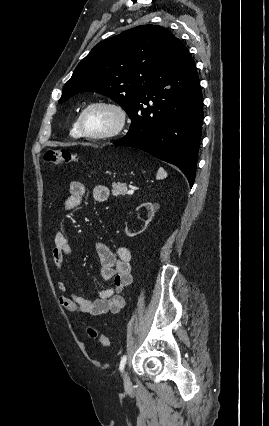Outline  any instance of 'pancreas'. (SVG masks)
<instances>
[{
	"mask_svg": "<svg viewBox=\"0 0 269 426\" xmlns=\"http://www.w3.org/2000/svg\"><path fill=\"white\" fill-rule=\"evenodd\" d=\"M127 186L125 183L113 184L112 185V195L119 196L127 194Z\"/></svg>",
	"mask_w": 269,
	"mask_h": 426,
	"instance_id": "pancreas-1",
	"label": "pancreas"
}]
</instances>
